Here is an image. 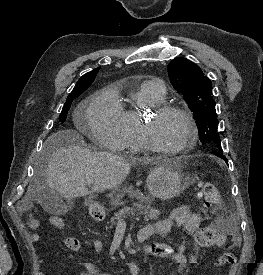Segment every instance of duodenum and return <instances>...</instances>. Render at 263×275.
Masks as SVG:
<instances>
[{"mask_svg": "<svg viewBox=\"0 0 263 275\" xmlns=\"http://www.w3.org/2000/svg\"><path fill=\"white\" fill-rule=\"evenodd\" d=\"M90 213L92 215V217L96 220H101L102 216L100 215V213L97 212V210L93 207L90 208Z\"/></svg>", "mask_w": 263, "mask_h": 275, "instance_id": "410a0bca", "label": "duodenum"}]
</instances>
